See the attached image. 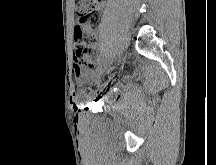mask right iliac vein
<instances>
[{
  "mask_svg": "<svg viewBox=\"0 0 216 165\" xmlns=\"http://www.w3.org/2000/svg\"><path fill=\"white\" fill-rule=\"evenodd\" d=\"M111 59V64H103V66L100 69V73H102L104 71V69H109L110 67H112V61L114 62L116 59L113 57L110 58Z\"/></svg>",
  "mask_w": 216,
  "mask_h": 165,
  "instance_id": "63e3f726",
  "label": "right iliac vein"
}]
</instances>
